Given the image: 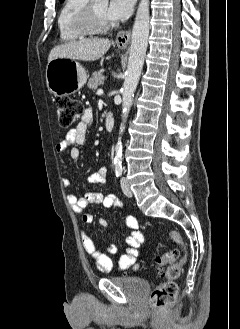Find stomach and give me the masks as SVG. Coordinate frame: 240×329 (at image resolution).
Instances as JSON below:
<instances>
[{
    "mask_svg": "<svg viewBox=\"0 0 240 329\" xmlns=\"http://www.w3.org/2000/svg\"><path fill=\"white\" fill-rule=\"evenodd\" d=\"M123 49V46H119ZM87 81L85 69L71 58H55L46 67L49 91L56 97H64L79 91Z\"/></svg>",
    "mask_w": 240,
    "mask_h": 329,
    "instance_id": "1",
    "label": "stomach"
}]
</instances>
